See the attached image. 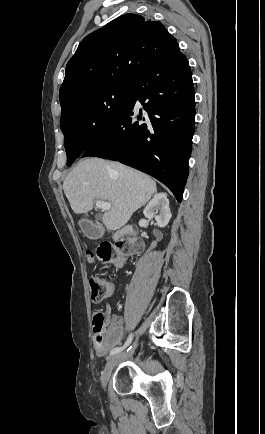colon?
Segmentation results:
<instances>
[{
	"label": "colon",
	"mask_w": 265,
	"mask_h": 434,
	"mask_svg": "<svg viewBox=\"0 0 265 434\" xmlns=\"http://www.w3.org/2000/svg\"><path fill=\"white\" fill-rule=\"evenodd\" d=\"M87 255L88 262L91 264L97 261L107 263L112 260L115 267H120L123 261L121 254L112 255L110 246L102 247L98 252L88 250ZM89 289L91 302L99 304L113 296L115 285L100 276H92L89 279ZM91 320L93 324L90 329L91 335H98V338H101V335H104L107 328L105 314H102L101 310L96 309L92 314ZM99 344H102V341H99Z\"/></svg>",
	"instance_id": "colon-1"
}]
</instances>
